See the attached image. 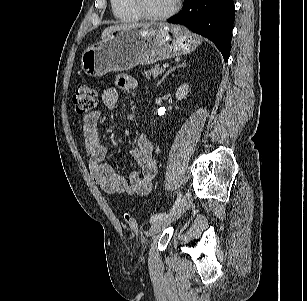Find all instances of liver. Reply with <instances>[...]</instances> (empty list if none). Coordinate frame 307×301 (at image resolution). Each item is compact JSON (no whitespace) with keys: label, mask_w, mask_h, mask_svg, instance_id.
Returning <instances> with one entry per match:
<instances>
[{"label":"liver","mask_w":307,"mask_h":301,"mask_svg":"<svg viewBox=\"0 0 307 301\" xmlns=\"http://www.w3.org/2000/svg\"><path fill=\"white\" fill-rule=\"evenodd\" d=\"M147 24H143V23H134V24H123V25H116V26H110L107 27L103 33H102V39L105 38L107 35H109L111 32L115 31V30H119V29H124V28H136V27H142V26H146Z\"/></svg>","instance_id":"obj_1"}]
</instances>
